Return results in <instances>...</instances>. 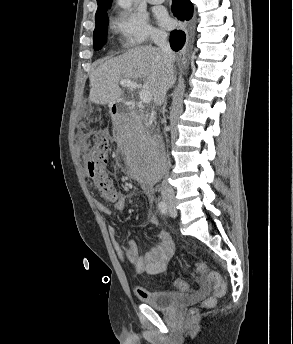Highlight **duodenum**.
<instances>
[{
  "label": "duodenum",
  "mask_w": 293,
  "mask_h": 344,
  "mask_svg": "<svg viewBox=\"0 0 293 344\" xmlns=\"http://www.w3.org/2000/svg\"><path fill=\"white\" fill-rule=\"evenodd\" d=\"M118 115V112H113V116H117Z\"/></svg>",
  "instance_id": "1"
}]
</instances>
